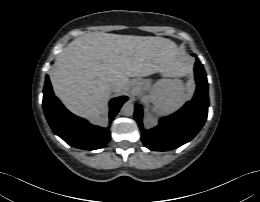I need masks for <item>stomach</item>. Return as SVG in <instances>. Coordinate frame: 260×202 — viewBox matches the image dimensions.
<instances>
[{"instance_id": "obj_1", "label": "stomach", "mask_w": 260, "mask_h": 202, "mask_svg": "<svg viewBox=\"0 0 260 202\" xmlns=\"http://www.w3.org/2000/svg\"><path fill=\"white\" fill-rule=\"evenodd\" d=\"M160 82L152 83L151 79H140L138 80V89L140 93H149L152 96L153 91L158 86Z\"/></svg>"}]
</instances>
